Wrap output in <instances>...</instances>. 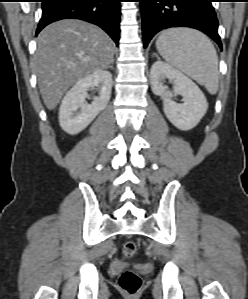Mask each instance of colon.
Returning <instances> with one entry per match:
<instances>
[{
    "mask_svg": "<svg viewBox=\"0 0 248 299\" xmlns=\"http://www.w3.org/2000/svg\"><path fill=\"white\" fill-rule=\"evenodd\" d=\"M136 252V243L128 240L123 245V253L125 257L131 258ZM120 289L127 295L137 294L142 286L140 275L134 270H125L118 279Z\"/></svg>",
    "mask_w": 248,
    "mask_h": 299,
    "instance_id": "5ec220e1",
    "label": "colon"
}]
</instances>
